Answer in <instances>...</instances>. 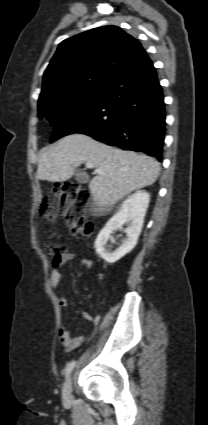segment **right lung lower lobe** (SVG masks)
<instances>
[{
  "label": "right lung lower lobe",
  "instance_id": "1",
  "mask_svg": "<svg viewBox=\"0 0 208 425\" xmlns=\"http://www.w3.org/2000/svg\"><path fill=\"white\" fill-rule=\"evenodd\" d=\"M81 133L110 146L162 159L165 104L156 70L145 55L106 87L95 105L65 116L50 141Z\"/></svg>",
  "mask_w": 208,
  "mask_h": 425
}]
</instances>
